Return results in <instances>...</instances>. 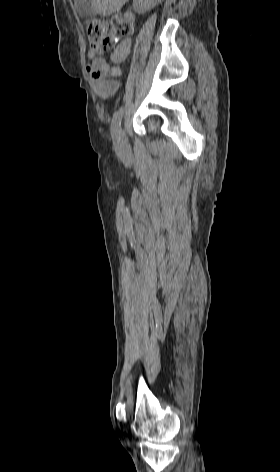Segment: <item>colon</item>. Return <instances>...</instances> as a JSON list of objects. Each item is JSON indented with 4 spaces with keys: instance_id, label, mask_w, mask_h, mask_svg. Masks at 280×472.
Here are the masks:
<instances>
[{
    "instance_id": "colon-1",
    "label": "colon",
    "mask_w": 280,
    "mask_h": 472,
    "mask_svg": "<svg viewBox=\"0 0 280 472\" xmlns=\"http://www.w3.org/2000/svg\"><path fill=\"white\" fill-rule=\"evenodd\" d=\"M85 27L90 46L93 49L112 47L117 37L130 34L132 29L131 23L121 18L107 22L89 18L85 22Z\"/></svg>"
}]
</instances>
